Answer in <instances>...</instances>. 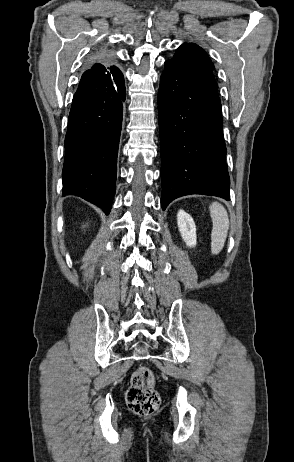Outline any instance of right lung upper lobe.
Instances as JSON below:
<instances>
[{"mask_svg":"<svg viewBox=\"0 0 294 462\" xmlns=\"http://www.w3.org/2000/svg\"><path fill=\"white\" fill-rule=\"evenodd\" d=\"M121 74L113 64L112 57L108 52L97 54L94 63L82 75L79 84H91L103 80H109Z\"/></svg>","mask_w":294,"mask_h":462,"instance_id":"obj_1","label":"right lung upper lobe"}]
</instances>
